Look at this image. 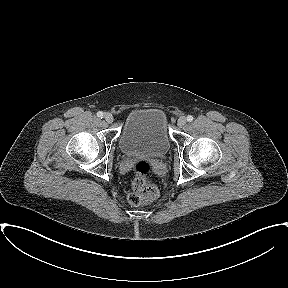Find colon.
Segmentation results:
<instances>
[{
	"label": "colon",
	"instance_id": "1",
	"mask_svg": "<svg viewBox=\"0 0 288 288\" xmlns=\"http://www.w3.org/2000/svg\"><path fill=\"white\" fill-rule=\"evenodd\" d=\"M135 178L132 184V191L128 195V202L132 206H139L155 200L158 196L156 187L149 184L147 174L151 165L147 161H138L134 165Z\"/></svg>",
	"mask_w": 288,
	"mask_h": 288
}]
</instances>
